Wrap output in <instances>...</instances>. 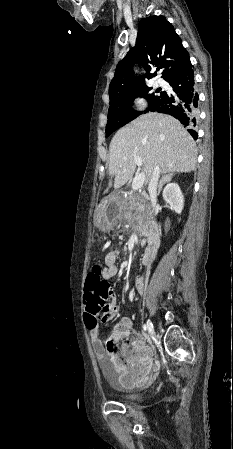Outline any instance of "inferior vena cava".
Here are the masks:
<instances>
[{"mask_svg":"<svg viewBox=\"0 0 233 449\" xmlns=\"http://www.w3.org/2000/svg\"><path fill=\"white\" fill-rule=\"evenodd\" d=\"M160 177V169L159 167H155L152 177L148 184V192L152 207L155 208L157 203V184Z\"/></svg>","mask_w":233,"mask_h":449,"instance_id":"1","label":"inferior vena cava"}]
</instances>
